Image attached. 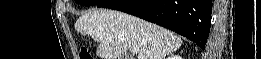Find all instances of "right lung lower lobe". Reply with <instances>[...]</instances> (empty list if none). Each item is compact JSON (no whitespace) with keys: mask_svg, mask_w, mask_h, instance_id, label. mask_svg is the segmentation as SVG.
<instances>
[{"mask_svg":"<svg viewBox=\"0 0 261 59\" xmlns=\"http://www.w3.org/2000/svg\"><path fill=\"white\" fill-rule=\"evenodd\" d=\"M97 7L135 15L183 35L205 48L212 0H102Z\"/></svg>","mask_w":261,"mask_h":59,"instance_id":"right-lung-lower-lobe-1","label":"right lung lower lobe"}]
</instances>
